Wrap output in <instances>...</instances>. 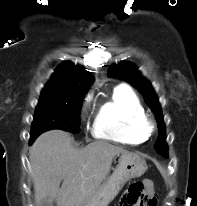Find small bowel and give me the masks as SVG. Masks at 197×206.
<instances>
[{
	"label": "small bowel",
	"mask_w": 197,
	"mask_h": 206,
	"mask_svg": "<svg viewBox=\"0 0 197 206\" xmlns=\"http://www.w3.org/2000/svg\"><path fill=\"white\" fill-rule=\"evenodd\" d=\"M147 187L151 189V183H150V181H147ZM151 191H152V190H151ZM126 193H127V191L125 192V194H124V196H123V199H124ZM123 199H122L121 206H127V205L123 202ZM134 206H141V205L138 204V205H134ZM142 206H145V205H142Z\"/></svg>",
	"instance_id": "c3829d8e"
}]
</instances>
